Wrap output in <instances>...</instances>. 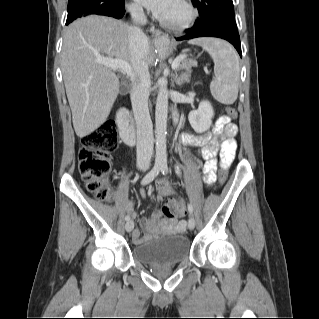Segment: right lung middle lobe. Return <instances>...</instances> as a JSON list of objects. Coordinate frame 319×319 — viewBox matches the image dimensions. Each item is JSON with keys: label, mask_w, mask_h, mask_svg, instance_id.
Instances as JSON below:
<instances>
[{"label": "right lung middle lobe", "mask_w": 319, "mask_h": 319, "mask_svg": "<svg viewBox=\"0 0 319 319\" xmlns=\"http://www.w3.org/2000/svg\"><path fill=\"white\" fill-rule=\"evenodd\" d=\"M122 2L123 0H69L66 24L79 17L111 10Z\"/></svg>", "instance_id": "obj_1"}]
</instances>
